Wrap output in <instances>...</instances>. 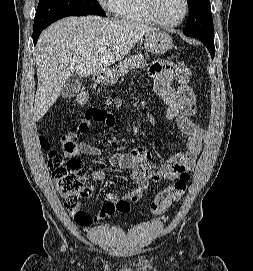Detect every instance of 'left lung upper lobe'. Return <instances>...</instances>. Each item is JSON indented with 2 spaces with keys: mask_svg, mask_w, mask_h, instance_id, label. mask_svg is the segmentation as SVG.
<instances>
[{
  "mask_svg": "<svg viewBox=\"0 0 253 271\" xmlns=\"http://www.w3.org/2000/svg\"><path fill=\"white\" fill-rule=\"evenodd\" d=\"M190 15L184 34L191 37L214 39L213 20L209 0H188Z\"/></svg>",
  "mask_w": 253,
  "mask_h": 271,
  "instance_id": "1",
  "label": "left lung upper lobe"
}]
</instances>
